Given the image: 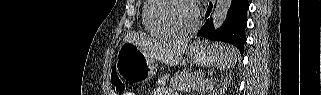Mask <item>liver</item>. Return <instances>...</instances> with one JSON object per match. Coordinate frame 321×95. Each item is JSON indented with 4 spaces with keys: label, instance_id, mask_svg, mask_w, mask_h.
I'll use <instances>...</instances> for the list:
<instances>
[{
    "label": "liver",
    "instance_id": "6515ba94",
    "mask_svg": "<svg viewBox=\"0 0 321 95\" xmlns=\"http://www.w3.org/2000/svg\"><path fill=\"white\" fill-rule=\"evenodd\" d=\"M134 43L151 57L175 66L184 54L189 40H155L139 32H131L124 38V43Z\"/></svg>",
    "mask_w": 321,
    "mask_h": 95
}]
</instances>
